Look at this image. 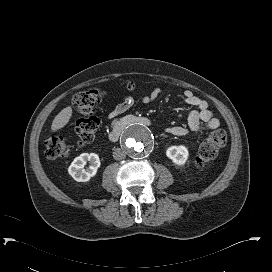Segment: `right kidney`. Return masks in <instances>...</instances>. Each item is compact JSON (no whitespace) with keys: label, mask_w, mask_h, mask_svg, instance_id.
<instances>
[{"label":"right kidney","mask_w":272,"mask_h":272,"mask_svg":"<svg viewBox=\"0 0 272 272\" xmlns=\"http://www.w3.org/2000/svg\"><path fill=\"white\" fill-rule=\"evenodd\" d=\"M89 162L90 166L84 169L85 164ZM99 156L95 153H82L76 157L68 168V173L77 182H87L95 176L100 167Z\"/></svg>","instance_id":"right-kidney-1"}]
</instances>
